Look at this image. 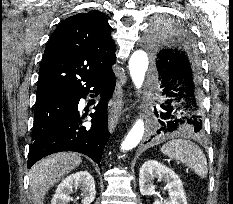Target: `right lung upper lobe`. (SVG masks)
<instances>
[{
    "instance_id": "right-lung-upper-lobe-1",
    "label": "right lung upper lobe",
    "mask_w": 233,
    "mask_h": 204,
    "mask_svg": "<svg viewBox=\"0 0 233 204\" xmlns=\"http://www.w3.org/2000/svg\"><path fill=\"white\" fill-rule=\"evenodd\" d=\"M115 44L102 12L91 10L60 23L47 44L39 70L36 100L74 96L112 71Z\"/></svg>"
}]
</instances>
